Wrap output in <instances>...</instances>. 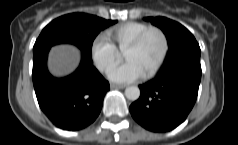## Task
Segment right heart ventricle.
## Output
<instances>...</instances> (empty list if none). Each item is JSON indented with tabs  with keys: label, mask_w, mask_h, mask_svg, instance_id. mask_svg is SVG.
Segmentation results:
<instances>
[{
	"label": "right heart ventricle",
	"mask_w": 238,
	"mask_h": 145,
	"mask_svg": "<svg viewBox=\"0 0 238 145\" xmlns=\"http://www.w3.org/2000/svg\"><path fill=\"white\" fill-rule=\"evenodd\" d=\"M150 25L143 22L131 21L108 30L107 37H109L116 48L125 50V48ZM108 38V39H109Z\"/></svg>",
	"instance_id": "obj_1"
}]
</instances>
